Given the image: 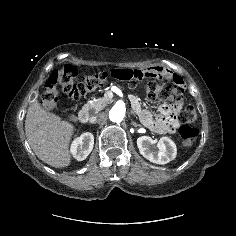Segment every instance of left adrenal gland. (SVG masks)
Returning a JSON list of instances; mask_svg holds the SVG:
<instances>
[{
    "instance_id": "a2214340",
    "label": "left adrenal gland",
    "mask_w": 236,
    "mask_h": 236,
    "mask_svg": "<svg viewBox=\"0 0 236 236\" xmlns=\"http://www.w3.org/2000/svg\"><path fill=\"white\" fill-rule=\"evenodd\" d=\"M132 125L135 126V127L139 126V125L136 124L135 122H132Z\"/></svg>"
}]
</instances>
